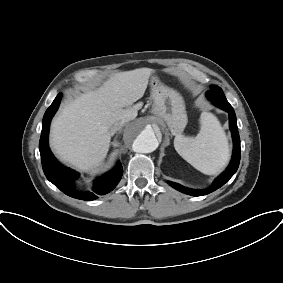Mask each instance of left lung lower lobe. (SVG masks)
<instances>
[{
    "instance_id": "1",
    "label": "left lung lower lobe",
    "mask_w": 283,
    "mask_h": 283,
    "mask_svg": "<svg viewBox=\"0 0 283 283\" xmlns=\"http://www.w3.org/2000/svg\"><path fill=\"white\" fill-rule=\"evenodd\" d=\"M208 99L217 107L227 111L229 113V127L232 132V139H233V155L231 162L227 169L218 177L216 180L212 183V185L209 188L203 189V190H193L186 188L178 183L169 181L170 186L175 188L176 190L183 192L188 195L192 196H203L207 195L211 192H214L215 190L219 189L221 186H223L226 182L229 181V179L235 174L239 167L240 163V137L237 129V122H236V115L234 112V109L229 104L227 99H216V98H210L207 95Z\"/></svg>"
}]
</instances>
